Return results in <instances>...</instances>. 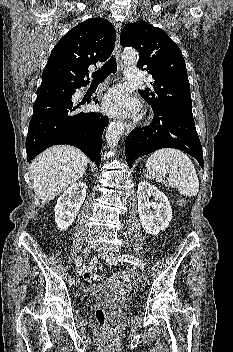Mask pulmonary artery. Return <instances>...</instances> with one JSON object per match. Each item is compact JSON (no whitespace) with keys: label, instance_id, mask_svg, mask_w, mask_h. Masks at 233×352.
I'll list each match as a JSON object with an SVG mask.
<instances>
[{"label":"pulmonary artery","instance_id":"e3ab8cb5","mask_svg":"<svg viewBox=\"0 0 233 352\" xmlns=\"http://www.w3.org/2000/svg\"><path fill=\"white\" fill-rule=\"evenodd\" d=\"M139 69L136 67H129L125 71V78L129 81H138L139 80Z\"/></svg>","mask_w":233,"mask_h":352}]
</instances>
